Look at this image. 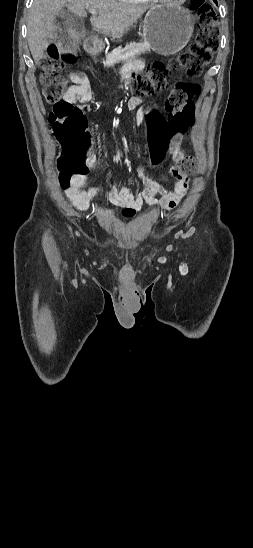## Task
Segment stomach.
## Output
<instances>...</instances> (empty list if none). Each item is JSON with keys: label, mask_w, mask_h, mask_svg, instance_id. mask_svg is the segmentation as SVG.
<instances>
[{"label": "stomach", "mask_w": 253, "mask_h": 548, "mask_svg": "<svg viewBox=\"0 0 253 548\" xmlns=\"http://www.w3.org/2000/svg\"><path fill=\"white\" fill-rule=\"evenodd\" d=\"M192 33V15L175 4L153 6L143 21L145 43L161 55H172L183 49Z\"/></svg>", "instance_id": "1"}]
</instances>
